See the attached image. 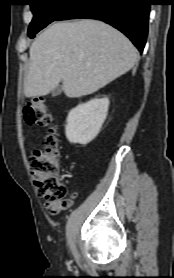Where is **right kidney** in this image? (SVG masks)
<instances>
[{
    "label": "right kidney",
    "instance_id": "right-kidney-1",
    "mask_svg": "<svg viewBox=\"0 0 174 278\" xmlns=\"http://www.w3.org/2000/svg\"><path fill=\"white\" fill-rule=\"evenodd\" d=\"M109 107L108 98H96L72 109L67 117L66 138L70 143L86 145L100 132Z\"/></svg>",
    "mask_w": 174,
    "mask_h": 278
}]
</instances>
